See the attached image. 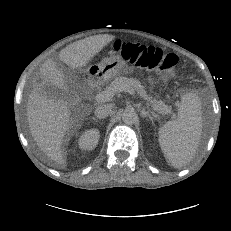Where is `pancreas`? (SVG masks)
<instances>
[{
  "label": "pancreas",
  "instance_id": "pancreas-1",
  "mask_svg": "<svg viewBox=\"0 0 231 231\" xmlns=\"http://www.w3.org/2000/svg\"><path fill=\"white\" fill-rule=\"evenodd\" d=\"M120 85H128L129 87H131L156 112L160 114H168L171 112V108L167 106L164 102L152 99V97L147 94L144 86L140 85L138 81L134 78L118 76L109 85L106 86L105 90H108L110 88H114Z\"/></svg>",
  "mask_w": 231,
  "mask_h": 231
}]
</instances>
